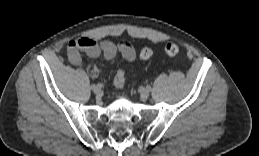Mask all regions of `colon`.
<instances>
[{
  "label": "colon",
  "instance_id": "colon-1",
  "mask_svg": "<svg viewBox=\"0 0 259 156\" xmlns=\"http://www.w3.org/2000/svg\"><path fill=\"white\" fill-rule=\"evenodd\" d=\"M164 52L169 57H176L180 53V48L175 43H167L164 47ZM154 55L151 47L145 46L140 51V57L143 60L150 59ZM114 85L118 89H123L125 86V71L119 69L114 77Z\"/></svg>",
  "mask_w": 259,
  "mask_h": 156
}]
</instances>
